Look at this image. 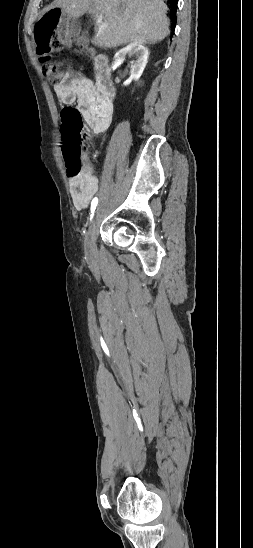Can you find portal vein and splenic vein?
Returning a JSON list of instances; mask_svg holds the SVG:
<instances>
[{"label": "portal vein and splenic vein", "mask_w": 253, "mask_h": 548, "mask_svg": "<svg viewBox=\"0 0 253 548\" xmlns=\"http://www.w3.org/2000/svg\"><path fill=\"white\" fill-rule=\"evenodd\" d=\"M102 19H103V17L101 15L96 16V25L98 27V32H100L101 29L104 27V25L102 23Z\"/></svg>", "instance_id": "obj_1"}]
</instances>
